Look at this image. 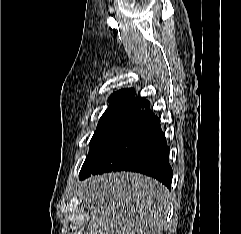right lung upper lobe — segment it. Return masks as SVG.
<instances>
[{
  "label": "right lung upper lobe",
  "instance_id": "cb5924a9",
  "mask_svg": "<svg viewBox=\"0 0 241 234\" xmlns=\"http://www.w3.org/2000/svg\"><path fill=\"white\" fill-rule=\"evenodd\" d=\"M134 89H122L118 92H114L108 99L111 105H135L139 106L146 101L145 98H135Z\"/></svg>",
  "mask_w": 241,
  "mask_h": 234
}]
</instances>
